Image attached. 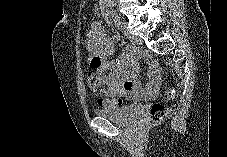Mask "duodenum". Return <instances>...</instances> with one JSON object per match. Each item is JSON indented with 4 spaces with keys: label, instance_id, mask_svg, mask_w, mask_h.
I'll return each instance as SVG.
<instances>
[{
    "label": "duodenum",
    "instance_id": "duodenum-1",
    "mask_svg": "<svg viewBox=\"0 0 227 157\" xmlns=\"http://www.w3.org/2000/svg\"><path fill=\"white\" fill-rule=\"evenodd\" d=\"M111 19H112V21L115 22V23H116L117 20H118V16H117L116 13L113 12V11L111 12Z\"/></svg>",
    "mask_w": 227,
    "mask_h": 157
}]
</instances>
